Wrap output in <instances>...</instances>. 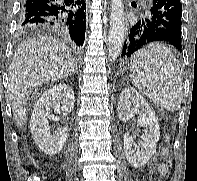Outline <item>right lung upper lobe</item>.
I'll return each instance as SVG.
<instances>
[{"label": "right lung upper lobe", "instance_id": "right-lung-upper-lobe-1", "mask_svg": "<svg viewBox=\"0 0 197 181\" xmlns=\"http://www.w3.org/2000/svg\"><path fill=\"white\" fill-rule=\"evenodd\" d=\"M34 30H40V29H37V28H34V27H22L21 28V31H34Z\"/></svg>", "mask_w": 197, "mask_h": 181}]
</instances>
